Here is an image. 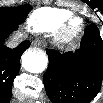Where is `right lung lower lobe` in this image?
<instances>
[{"mask_svg":"<svg viewBox=\"0 0 103 103\" xmlns=\"http://www.w3.org/2000/svg\"><path fill=\"white\" fill-rule=\"evenodd\" d=\"M18 28L17 24H0V101L8 102L11 98L13 80L18 74L20 57L30 46L28 40L18 47L10 49L3 45L4 40Z\"/></svg>","mask_w":103,"mask_h":103,"instance_id":"98d812e1","label":"right lung lower lobe"}]
</instances>
